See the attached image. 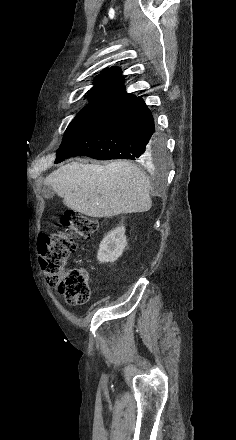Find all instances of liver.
<instances>
[{
    "label": "liver",
    "instance_id": "1",
    "mask_svg": "<svg viewBox=\"0 0 236 440\" xmlns=\"http://www.w3.org/2000/svg\"><path fill=\"white\" fill-rule=\"evenodd\" d=\"M44 184L63 198L65 206L90 217L141 213L152 206L148 177L129 161L68 163L49 174Z\"/></svg>",
    "mask_w": 236,
    "mask_h": 440
}]
</instances>
